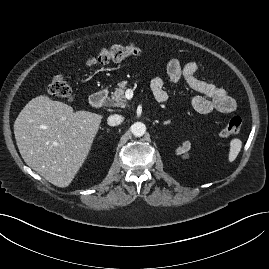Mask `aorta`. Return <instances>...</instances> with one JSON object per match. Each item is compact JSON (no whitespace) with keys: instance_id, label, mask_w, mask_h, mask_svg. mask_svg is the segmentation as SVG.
Returning <instances> with one entry per match:
<instances>
[{"instance_id":"762f6f07","label":"aorta","mask_w":269,"mask_h":269,"mask_svg":"<svg viewBox=\"0 0 269 269\" xmlns=\"http://www.w3.org/2000/svg\"><path fill=\"white\" fill-rule=\"evenodd\" d=\"M131 131L132 134L136 137H141L145 134L146 132V126L144 123L142 122H135L132 126H131Z\"/></svg>"}]
</instances>
